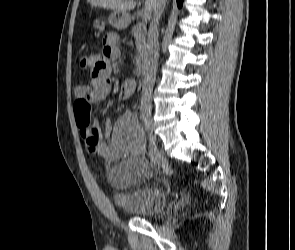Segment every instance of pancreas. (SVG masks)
<instances>
[{
  "label": "pancreas",
  "mask_w": 295,
  "mask_h": 250,
  "mask_svg": "<svg viewBox=\"0 0 295 250\" xmlns=\"http://www.w3.org/2000/svg\"><path fill=\"white\" fill-rule=\"evenodd\" d=\"M132 34L136 39V49L139 53L136 60L139 61L146 50V23L140 22L132 28Z\"/></svg>",
  "instance_id": "1"
}]
</instances>
